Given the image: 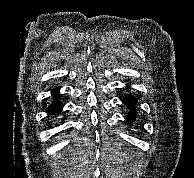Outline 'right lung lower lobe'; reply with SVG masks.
Returning a JSON list of instances; mask_svg holds the SVG:
<instances>
[{
	"label": "right lung lower lobe",
	"instance_id": "obj_1",
	"mask_svg": "<svg viewBox=\"0 0 194 178\" xmlns=\"http://www.w3.org/2000/svg\"><path fill=\"white\" fill-rule=\"evenodd\" d=\"M58 93H59V88L53 89L51 91L52 96L55 97V99L52 101V103L47 107L46 111L52 115L59 114L61 111V107L63 104L58 100Z\"/></svg>",
	"mask_w": 194,
	"mask_h": 178
}]
</instances>
